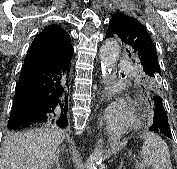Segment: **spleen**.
Segmentation results:
<instances>
[{"label": "spleen", "mask_w": 177, "mask_h": 169, "mask_svg": "<svg viewBox=\"0 0 177 169\" xmlns=\"http://www.w3.org/2000/svg\"><path fill=\"white\" fill-rule=\"evenodd\" d=\"M144 142L141 147V162L136 165V169H172L169 148L166 142L152 132H145L140 136Z\"/></svg>", "instance_id": "obj_1"}]
</instances>
